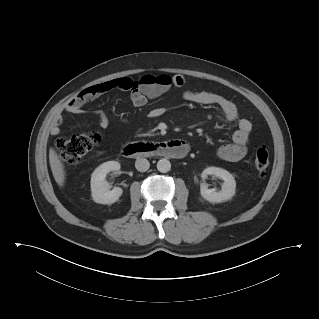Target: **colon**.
Instances as JSON below:
<instances>
[{"instance_id": "obj_1", "label": "colon", "mask_w": 319, "mask_h": 319, "mask_svg": "<svg viewBox=\"0 0 319 319\" xmlns=\"http://www.w3.org/2000/svg\"><path fill=\"white\" fill-rule=\"evenodd\" d=\"M168 75H143L137 80L126 79L119 88L133 92L140 91L145 94L161 91L171 84ZM100 141L97 132L80 133L72 136L60 137L56 142V148L64 165H72L80 161ZM253 166L258 178H264L269 166V153L264 148H259L253 159Z\"/></svg>"}]
</instances>
